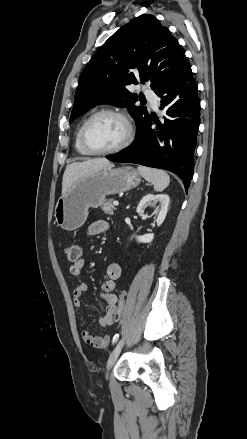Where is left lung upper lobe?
<instances>
[{"instance_id": "5c2ea615", "label": "left lung upper lobe", "mask_w": 247, "mask_h": 439, "mask_svg": "<svg viewBox=\"0 0 247 439\" xmlns=\"http://www.w3.org/2000/svg\"><path fill=\"white\" fill-rule=\"evenodd\" d=\"M185 53L168 28L153 15L144 14L115 32L84 68L76 89L70 123L100 104L127 107L136 128L149 117L136 106L131 84L148 83L161 89L186 61Z\"/></svg>"}]
</instances>
